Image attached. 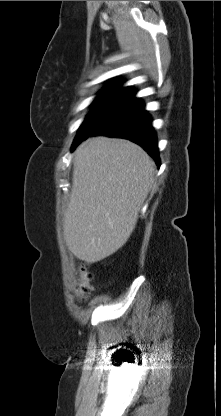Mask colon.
<instances>
[{"label":"colon","instance_id":"colon-1","mask_svg":"<svg viewBox=\"0 0 221 416\" xmlns=\"http://www.w3.org/2000/svg\"><path fill=\"white\" fill-rule=\"evenodd\" d=\"M78 271H79V278L75 286L74 293L76 297H78L79 299L85 300L90 294L91 289H92V285H91L92 274L89 271L87 264L84 262L79 263Z\"/></svg>","mask_w":221,"mask_h":416}]
</instances>
